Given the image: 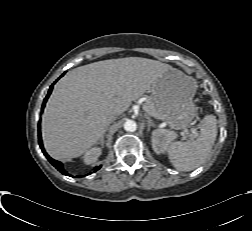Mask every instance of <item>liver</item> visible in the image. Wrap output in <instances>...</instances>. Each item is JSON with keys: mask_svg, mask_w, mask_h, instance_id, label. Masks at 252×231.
Returning a JSON list of instances; mask_svg holds the SVG:
<instances>
[{"mask_svg": "<svg viewBox=\"0 0 252 231\" xmlns=\"http://www.w3.org/2000/svg\"><path fill=\"white\" fill-rule=\"evenodd\" d=\"M169 68L156 60L126 57L68 72L54 88L42 116L47 153L56 160L86 153L103 137L107 117L121 115Z\"/></svg>", "mask_w": 252, "mask_h": 231, "instance_id": "6515ba94", "label": "liver"}]
</instances>
